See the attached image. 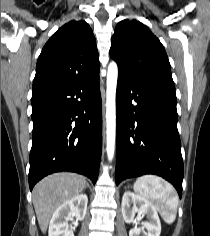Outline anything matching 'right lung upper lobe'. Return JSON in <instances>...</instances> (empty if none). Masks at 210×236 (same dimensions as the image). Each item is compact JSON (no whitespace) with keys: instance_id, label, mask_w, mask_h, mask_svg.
<instances>
[{"instance_id":"cb5924a9","label":"right lung upper lobe","mask_w":210,"mask_h":236,"mask_svg":"<svg viewBox=\"0 0 210 236\" xmlns=\"http://www.w3.org/2000/svg\"><path fill=\"white\" fill-rule=\"evenodd\" d=\"M96 40L85 21H71L45 44L38 58L33 91H57L98 72Z\"/></svg>"}]
</instances>
